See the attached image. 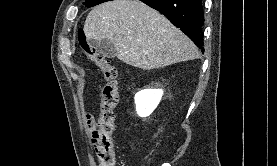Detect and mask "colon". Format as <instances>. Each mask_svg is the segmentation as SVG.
<instances>
[{
  "mask_svg": "<svg viewBox=\"0 0 277 166\" xmlns=\"http://www.w3.org/2000/svg\"><path fill=\"white\" fill-rule=\"evenodd\" d=\"M77 37L82 53L100 68L104 78L103 84L98 88L100 98L99 117L90 126L92 142L98 157L99 166H116L114 109L119 98V71L109 59L87 40L83 30L78 32Z\"/></svg>",
  "mask_w": 277,
  "mask_h": 166,
  "instance_id": "obj_1",
  "label": "colon"
}]
</instances>
